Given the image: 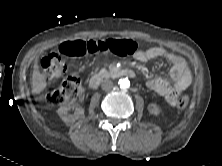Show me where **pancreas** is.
I'll return each mask as SVG.
<instances>
[{
    "instance_id": "pancreas-1",
    "label": "pancreas",
    "mask_w": 222,
    "mask_h": 166,
    "mask_svg": "<svg viewBox=\"0 0 222 166\" xmlns=\"http://www.w3.org/2000/svg\"><path fill=\"white\" fill-rule=\"evenodd\" d=\"M99 74L102 75V76H108L109 75V71L106 70V69H102V70H100Z\"/></svg>"
}]
</instances>
